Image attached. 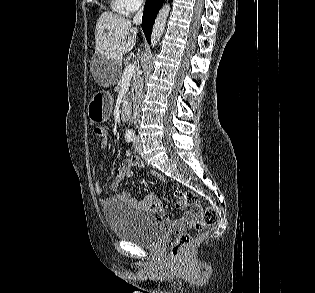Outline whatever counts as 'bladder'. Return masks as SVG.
I'll list each match as a JSON object with an SVG mask.
<instances>
[{"label":"bladder","instance_id":"obj_1","mask_svg":"<svg viewBox=\"0 0 315 293\" xmlns=\"http://www.w3.org/2000/svg\"><path fill=\"white\" fill-rule=\"evenodd\" d=\"M112 234L139 247H152L162 236V229L148 213L125 202H114L104 211Z\"/></svg>","mask_w":315,"mask_h":293}]
</instances>
